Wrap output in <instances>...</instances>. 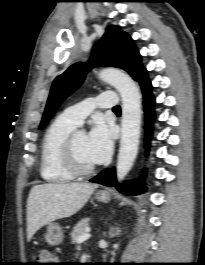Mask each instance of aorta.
Wrapping results in <instances>:
<instances>
[{
    "instance_id": "1",
    "label": "aorta",
    "mask_w": 205,
    "mask_h": 265,
    "mask_svg": "<svg viewBox=\"0 0 205 265\" xmlns=\"http://www.w3.org/2000/svg\"><path fill=\"white\" fill-rule=\"evenodd\" d=\"M99 78L114 86L122 98V129L116 165L118 181H122L131 170L138 152L141 126V94L138 85L124 72L106 68Z\"/></svg>"
}]
</instances>
